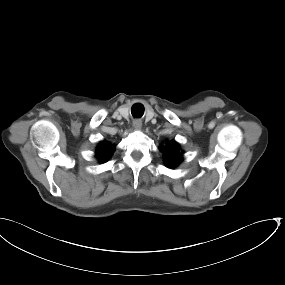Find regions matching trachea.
<instances>
[{
	"label": "trachea",
	"instance_id": "1",
	"mask_svg": "<svg viewBox=\"0 0 285 285\" xmlns=\"http://www.w3.org/2000/svg\"><path fill=\"white\" fill-rule=\"evenodd\" d=\"M131 113L133 117H141L144 113V108L141 104H135L131 109Z\"/></svg>",
	"mask_w": 285,
	"mask_h": 285
}]
</instances>
